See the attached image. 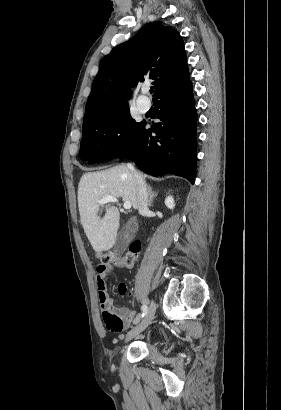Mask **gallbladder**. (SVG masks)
<instances>
[{
	"label": "gallbladder",
	"instance_id": "1",
	"mask_svg": "<svg viewBox=\"0 0 281 410\" xmlns=\"http://www.w3.org/2000/svg\"><path fill=\"white\" fill-rule=\"evenodd\" d=\"M130 237L131 236L129 234V229L128 228H125L119 234V237L117 239L116 246H115L116 251H117L118 254H122L126 250L128 244H129Z\"/></svg>",
	"mask_w": 281,
	"mask_h": 410
}]
</instances>
